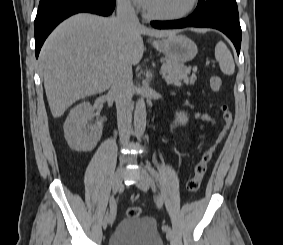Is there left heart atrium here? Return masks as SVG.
I'll return each mask as SVG.
<instances>
[{
    "label": "left heart atrium",
    "instance_id": "obj_1",
    "mask_svg": "<svg viewBox=\"0 0 283 245\" xmlns=\"http://www.w3.org/2000/svg\"><path fill=\"white\" fill-rule=\"evenodd\" d=\"M149 1L150 0H136V2L143 7H146L148 5Z\"/></svg>",
    "mask_w": 283,
    "mask_h": 245
}]
</instances>
